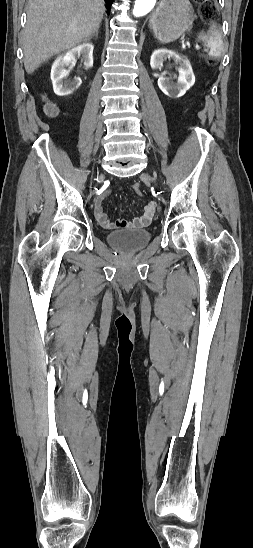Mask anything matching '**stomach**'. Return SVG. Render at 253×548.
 <instances>
[{
	"label": "stomach",
	"instance_id": "1",
	"mask_svg": "<svg viewBox=\"0 0 253 548\" xmlns=\"http://www.w3.org/2000/svg\"><path fill=\"white\" fill-rule=\"evenodd\" d=\"M193 23V7L188 0H161L149 26L162 43L178 39Z\"/></svg>",
	"mask_w": 253,
	"mask_h": 548
}]
</instances>
